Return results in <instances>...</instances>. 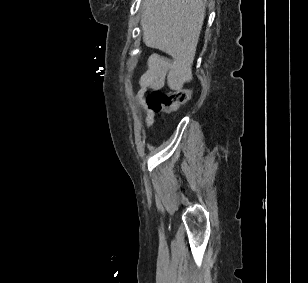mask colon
Segmentation results:
<instances>
[{
  "instance_id": "colon-1",
  "label": "colon",
  "mask_w": 308,
  "mask_h": 283,
  "mask_svg": "<svg viewBox=\"0 0 308 283\" xmlns=\"http://www.w3.org/2000/svg\"><path fill=\"white\" fill-rule=\"evenodd\" d=\"M190 98L191 90L189 89H179L169 92L153 90L146 96L145 101L148 108L154 112L171 113L189 101Z\"/></svg>"
}]
</instances>
